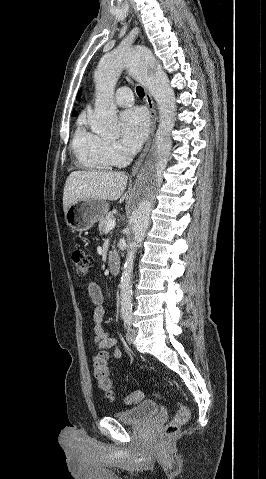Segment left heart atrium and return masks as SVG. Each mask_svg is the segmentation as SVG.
<instances>
[{"label": "left heart atrium", "mask_w": 266, "mask_h": 479, "mask_svg": "<svg viewBox=\"0 0 266 479\" xmlns=\"http://www.w3.org/2000/svg\"><path fill=\"white\" fill-rule=\"evenodd\" d=\"M122 142L129 152H136L149 131L147 113L139 107L124 111L120 116Z\"/></svg>", "instance_id": "obj_1"}]
</instances>
